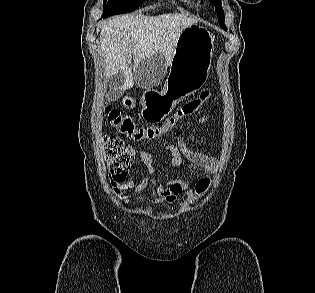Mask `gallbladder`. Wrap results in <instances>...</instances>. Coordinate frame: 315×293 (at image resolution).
<instances>
[{
    "label": "gallbladder",
    "mask_w": 315,
    "mask_h": 293,
    "mask_svg": "<svg viewBox=\"0 0 315 293\" xmlns=\"http://www.w3.org/2000/svg\"><path fill=\"white\" fill-rule=\"evenodd\" d=\"M109 85L112 89V93L113 92H117L119 93V90L117 89L119 86H121L124 83V76L122 73H118L115 75H112L109 80ZM111 98H116V96L111 95Z\"/></svg>",
    "instance_id": "bac80fb5"
}]
</instances>
